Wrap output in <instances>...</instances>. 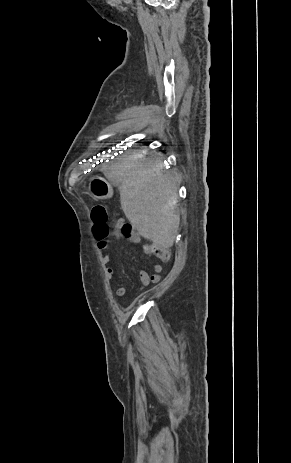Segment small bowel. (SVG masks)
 I'll return each mask as SVG.
<instances>
[{
  "label": "small bowel",
  "mask_w": 291,
  "mask_h": 463,
  "mask_svg": "<svg viewBox=\"0 0 291 463\" xmlns=\"http://www.w3.org/2000/svg\"><path fill=\"white\" fill-rule=\"evenodd\" d=\"M129 240L135 244H141V238L137 233H133V235L130 237ZM107 248H108V242H107L106 247L100 248V249H107ZM142 248L145 254L154 260V272L152 274H149L145 269H140L139 274H138L141 288H145L149 286L151 283H158L160 281L161 279L160 273L162 271V264L154 258V255L151 251V246L147 244H142ZM102 260L105 264H110L112 262V258L106 254L103 255ZM115 273H116V270L111 266H108L105 270V276L108 279H112L115 276ZM115 293L118 298H124L127 295V288L124 286H121L116 289Z\"/></svg>",
  "instance_id": "small-bowel-1"
}]
</instances>
